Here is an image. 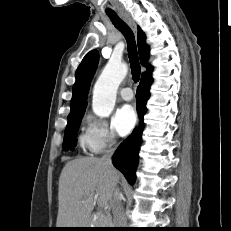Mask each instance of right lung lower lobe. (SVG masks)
<instances>
[{
    "instance_id": "1",
    "label": "right lung lower lobe",
    "mask_w": 231,
    "mask_h": 231,
    "mask_svg": "<svg viewBox=\"0 0 231 231\" xmlns=\"http://www.w3.org/2000/svg\"><path fill=\"white\" fill-rule=\"evenodd\" d=\"M152 81L151 76L141 79L137 88V110L142 118L146 112V101L150 96L149 87ZM143 127L144 123L141 121L139 129L134 130L132 135L120 144L113 156L114 166L124 174L130 184H133L136 179L135 171L138 163V150L141 144Z\"/></svg>"
}]
</instances>
